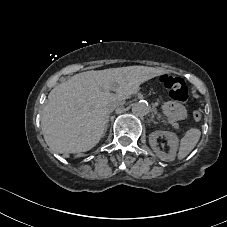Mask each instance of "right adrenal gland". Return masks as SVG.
Listing matches in <instances>:
<instances>
[{
	"instance_id": "right-adrenal-gland-1",
	"label": "right adrenal gland",
	"mask_w": 227,
	"mask_h": 227,
	"mask_svg": "<svg viewBox=\"0 0 227 227\" xmlns=\"http://www.w3.org/2000/svg\"><path fill=\"white\" fill-rule=\"evenodd\" d=\"M107 128H108V124L106 125V130L105 131H107Z\"/></svg>"
}]
</instances>
